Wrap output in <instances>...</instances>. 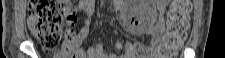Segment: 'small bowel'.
Instances as JSON below:
<instances>
[{"label":"small bowel","instance_id":"small-bowel-1","mask_svg":"<svg viewBox=\"0 0 225 58\" xmlns=\"http://www.w3.org/2000/svg\"><path fill=\"white\" fill-rule=\"evenodd\" d=\"M95 1L85 0L81 3L82 11L85 15L83 23L80 27L78 35L69 43L76 51L74 58H137L141 49L144 48L140 42L132 43L130 41L123 43L119 39L114 41V47L116 50H123L122 55H115L105 52L102 44H97L91 47L87 52L81 48V44L85 38L89 35V17L94 12ZM154 6L159 11L160 15L163 13L166 7V3L163 1H155ZM163 31V23L159 19L156 23L146 28V32L151 35L150 45L155 48L158 44L159 38ZM150 55L149 57H152Z\"/></svg>","mask_w":225,"mask_h":58}]
</instances>
